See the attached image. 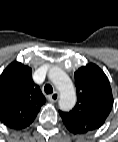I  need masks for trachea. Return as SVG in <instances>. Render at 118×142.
<instances>
[{"mask_svg":"<svg viewBox=\"0 0 118 142\" xmlns=\"http://www.w3.org/2000/svg\"><path fill=\"white\" fill-rule=\"evenodd\" d=\"M44 91H45L46 94H50V93H53V88L50 84H46L44 86Z\"/></svg>","mask_w":118,"mask_h":142,"instance_id":"1","label":"trachea"}]
</instances>
